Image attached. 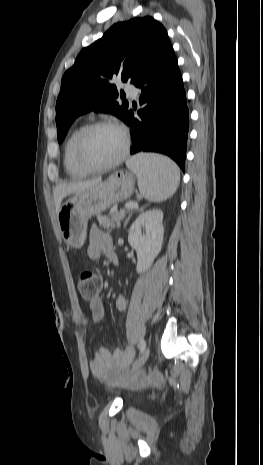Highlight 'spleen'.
<instances>
[{
    "instance_id": "spleen-1",
    "label": "spleen",
    "mask_w": 263,
    "mask_h": 465,
    "mask_svg": "<svg viewBox=\"0 0 263 465\" xmlns=\"http://www.w3.org/2000/svg\"><path fill=\"white\" fill-rule=\"evenodd\" d=\"M126 165L137 176L139 191L149 201H164L179 186V168L166 156L140 153L127 160Z\"/></svg>"
}]
</instances>
